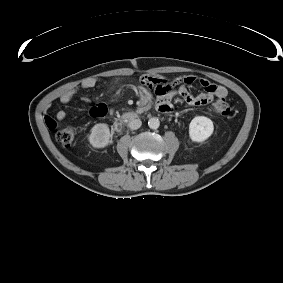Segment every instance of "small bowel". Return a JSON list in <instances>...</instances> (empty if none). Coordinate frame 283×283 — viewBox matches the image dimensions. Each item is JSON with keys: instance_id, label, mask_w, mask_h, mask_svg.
Listing matches in <instances>:
<instances>
[{"instance_id": "c3829d8e", "label": "small bowel", "mask_w": 283, "mask_h": 283, "mask_svg": "<svg viewBox=\"0 0 283 283\" xmlns=\"http://www.w3.org/2000/svg\"><path fill=\"white\" fill-rule=\"evenodd\" d=\"M196 81L203 88V92L199 94H191L188 87ZM107 84L102 78L89 77L84 79L78 86L65 91L59 98L63 105L69 104L81 90H88L95 87L97 84ZM176 86V87H174ZM150 89H154L156 93V105L161 112L172 109V101L176 96L181 97L189 106H204L216 98H225L227 90L221 85L214 84L205 78H197L192 75L177 77L170 80L160 75H143L140 80L139 91L144 96H149ZM84 101H88L86 96H83ZM107 106L104 103H99L97 106L90 109L92 116H102L106 114ZM68 114L66 110H59L55 116L46 115L44 120L49 128L57 126L58 121H64Z\"/></svg>"}]
</instances>
